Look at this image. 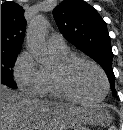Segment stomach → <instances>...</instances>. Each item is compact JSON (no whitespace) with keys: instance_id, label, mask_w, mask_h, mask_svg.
Wrapping results in <instances>:
<instances>
[{"instance_id":"stomach-1","label":"stomach","mask_w":123,"mask_h":130,"mask_svg":"<svg viewBox=\"0 0 123 130\" xmlns=\"http://www.w3.org/2000/svg\"><path fill=\"white\" fill-rule=\"evenodd\" d=\"M71 130H89L88 127L80 124V125H75L71 128Z\"/></svg>"}]
</instances>
